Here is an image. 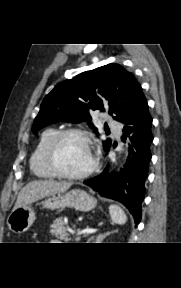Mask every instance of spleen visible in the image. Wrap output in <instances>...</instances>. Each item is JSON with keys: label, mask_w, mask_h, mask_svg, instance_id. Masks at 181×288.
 I'll return each instance as SVG.
<instances>
[{"label": "spleen", "mask_w": 181, "mask_h": 288, "mask_svg": "<svg viewBox=\"0 0 181 288\" xmlns=\"http://www.w3.org/2000/svg\"><path fill=\"white\" fill-rule=\"evenodd\" d=\"M109 214L111 220L115 224L124 225L127 221V216L124 213L123 209L118 205H110L109 206Z\"/></svg>", "instance_id": "1"}]
</instances>
